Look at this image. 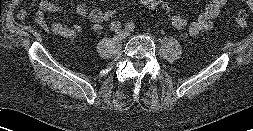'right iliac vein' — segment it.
I'll list each match as a JSON object with an SVG mask.
<instances>
[{
	"mask_svg": "<svg viewBox=\"0 0 253 131\" xmlns=\"http://www.w3.org/2000/svg\"><path fill=\"white\" fill-rule=\"evenodd\" d=\"M126 37V34L124 31H118L117 34H116V40L117 41H122L124 40Z\"/></svg>",
	"mask_w": 253,
	"mask_h": 131,
	"instance_id": "right-iliac-vein-1",
	"label": "right iliac vein"
}]
</instances>
